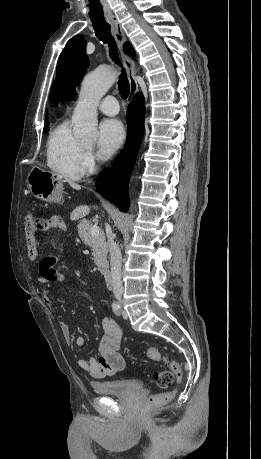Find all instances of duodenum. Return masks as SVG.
I'll return each instance as SVG.
<instances>
[{
    "label": "duodenum",
    "mask_w": 261,
    "mask_h": 459,
    "mask_svg": "<svg viewBox=\"0 0 261 459\" xmlns=\"http://www.w3.org/2000/svg\"><path fill=\"white\" fill-rule=\"evenodd\" d=\"M100 269H101V272H102V274L104 275V277H105L107 283H108L109 285H111V283H112V274H111L110 268H109L108 266H106V265H102V266L100 267Z\"/></svg>",
    "instance_id": "obj_1"
}]
</instances>
